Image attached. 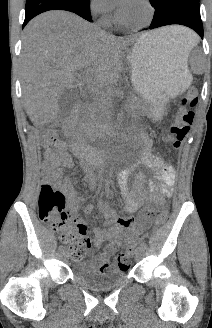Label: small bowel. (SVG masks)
Wrapping results in <instances>:
<instances>
[{
  "mask_svg": "<svg viewBox=\"0 0 212 328\" xmlns=\"http://www.w3.org/2000/svg\"><path fill=\"white\" fill-rule=\"evenodd\" d=\"M145 146L142 150L141 163L150 168L160 179L158 190L160 196L149 197L141 191L144 176L138 175L135 180V187L130 190L128 179L132 169L122 171L118 176V189L124 201V207L128 212H138L134 217H123L106 201L100 202V210L109 220L107 227H97L94 230V237L90 242L95 247L103 246L100 253L90 259L91 267L101 273H107L114 269L116 265L109 261L110 256L116 248L124 242H132L139 237L143 230L148 227L151 221L153 208L149 205H162L165 199L172 195L175 184V171L172 165L161 157L154 155L149 146V139L142 136ZM72 157L67 151L64 142L59 143L55 148H49L44 154L42 168L46 178L51 180L66 196L68 201V213L72 221L85 226L80 220V211L89 215L91 205H85V195L82 191L73 188L72 179L66 175V171L73 167ZM152 190L156 187L152 186ZM85 254L80 257L84 258Z\"/></svg>",
  "mask_w": 212,
  "mask_h": 328,
  "instance_id": "obj_1",
  "label": "small bowel"
}]
</instances>
